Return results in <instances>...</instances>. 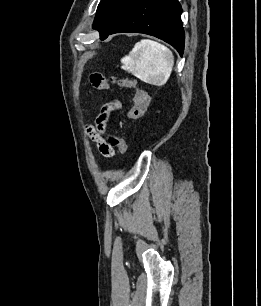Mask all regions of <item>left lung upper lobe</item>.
<instances>
[{
  "label": "left lung upper lobe",
  "mask_w": 261,
  "mask_h": 306,
  "mask_svg": "<svg viewBox=\"0 0 261 306\" xmlns=\"http://www.w3.org/2000/svg\"><path fill=\"white\" fill-rule=\"evenodd\" d=\"M133 0H101L93 28L100 32V36L108 33L119 21L120 17Z\"/></svg>",
  "instance_id": "obj_1"
}]
</instances>
